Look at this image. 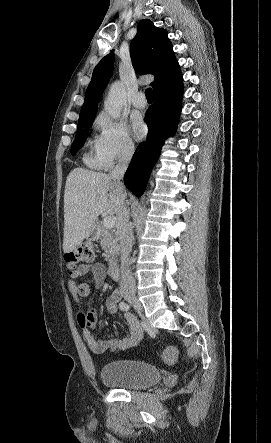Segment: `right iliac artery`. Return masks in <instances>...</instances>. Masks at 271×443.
<instances>
[{"instance_id": "right-iliac-artery-1", "label": "right iliac artery", "mask_w": 271, "mask_h": 443, "mask_svg": "<svg viewBox=\"0 0 271 443\" xmlns=\"http://www.w3.org/2000/svg\"><path fill=\"white\" fill-rule=\"evenodd\" d=\"M119 308L122 310V311H128L129 309H130V305L128 304V303H126V302H121L120 304H119Z\"/></svg>"}]
</instances>
